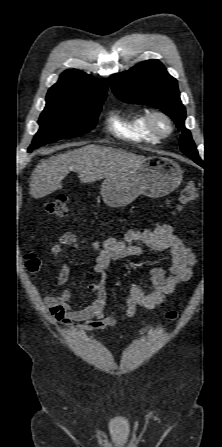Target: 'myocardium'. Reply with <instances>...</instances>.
Returning a JSON list of instances; mask_svg holds the SVG:
<instances>
[{"label": "myocardium", "mask_w": 222, "mask_h": 447, "mask_svg": "<svg viewBox=\"0 0 222 447\" xmlns=\"http://www.w3.org/2000/svg\"><path fill=\"white\" fill-rule=\"evenodd\" d=\"M161 123L165 125V129L161 127ZM146 125L149 131L157 138H165L174 131L172 119L164 112L159 110L150 111L146 115Z\"/></svg>", "instance_id": "f54148a6"}]
</instances>
